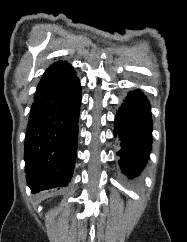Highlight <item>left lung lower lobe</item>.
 Here are the masks:
<instances>
[{"instance_id":"obj_1","label":"left lung lower lobe","mask_w":187,"mask_h":242,"mask_svg":"<svg viewBox=\"0 0 187 242\" xmlns=\"http://www.w3.org/2000/svg\"><path fill=\"white\" fill-rule=\"evenodd\" d=\"M117 111L114 136L119 140V165L128 178L139 176L146 166L151 146L153 122L150 104L139 90L129 92Z\"/></svg>"}]
</instances>
